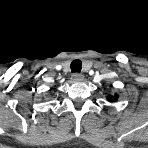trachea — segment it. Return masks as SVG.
Listing matches in <instances>:
<instances>
[{
	"label": "trachea",
	"instance_id": "obj_1",
	"mask_svg": "<svg viewBox=\"0 0 148 148\" xmlns=\"http://www.w3.org/2000/svg\"><path fill=\"white\" fill-rule=\"evenodd\" d=\"M71 71L74 73H80L82 69V62L79 59L73 60L71 65Z\"/></svg>",
	"mask_w": 148,
	"mask_h": 148
}]
</instances>
